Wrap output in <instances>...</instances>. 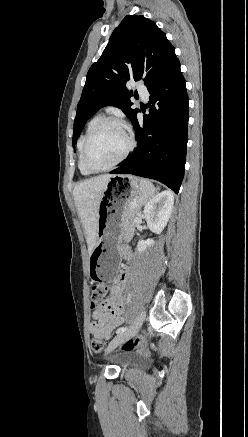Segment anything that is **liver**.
I'll return each mask as SVG.
<instances>
[{
	"mask_svg": "<svg viewBox=\"0 0 248 437\" xmlns=\"http://www.w3.org/2000/svg\"><path fill=\"white\" fill-rule=\"evenodd\" d=\"M112 177L114 175L111 174L93 177L78 183L73 190L74 202L85 228L89 255L97 241V216L101 196Z\"/></svg>",
	"mask_w": 248,
	"mask_h": 437,
	"instance_id": "1",
	"label": "liver"
}]
</instances>
